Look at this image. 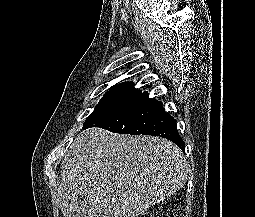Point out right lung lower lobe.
<instances>
[{"label": "right lung lower lobe", "mask_w": 255, "mask_h": 217, "mask_svg": "<svg viewBox=\"0 0 255 217\" xmlns=\"http://www.w3.org/2000/svg\"><path fill=\"white\" fill-rule=\"evenodd\" d=\"M90 127H100L121 134L159 136L174 142L182 151L185 147L176 127V120L165 112L160 101L150 99L146 92L83 128Z\"/></svg>", "instance_id": "1"}]
</instances>
